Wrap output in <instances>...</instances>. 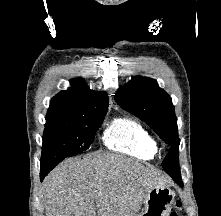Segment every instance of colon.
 Instances as JSON below:
<instances>
[{"label": "colon", "instance_id": "5ec220e1", "mask_svg": "<svg viewBox=\"0 0 221 216\" xmlns=\"http://www.w3.org/2000/svg\"><path fill=\"white\" fill-rule=\"evenodd\" d=\"M181 206H182L181 201H180V200L176 201L175 207H176L177 209H180ZM170 216H179V214H178L177 211H173V212H171Z\"/></svg>", "mask_w": 221, "mask_h": 216}]
</instances>
